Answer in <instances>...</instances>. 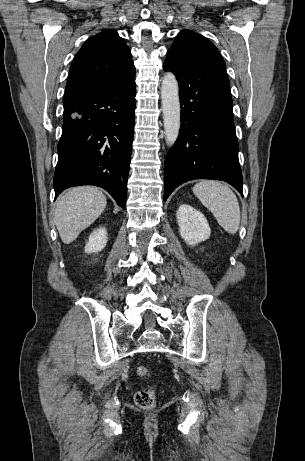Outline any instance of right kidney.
Listing matches in <instances>:
<instances>
[{
	"label": "right kidney",
	"mask_w": 305,
	"mask_h": 461,
	"mask_svg": "<svg viewBox=\"0 0 305 461\" xmlns=\"http://www.w3.org/2000/svg\"><path fill=\"white\" fill-rule=\"evenodd\" d=\"M107 243V231L105 228H99L94 230L90 236L88 243L85 245V252L90 253H98Z\"/></svg>",
	"instance_id": "1"
}]
</instances>
